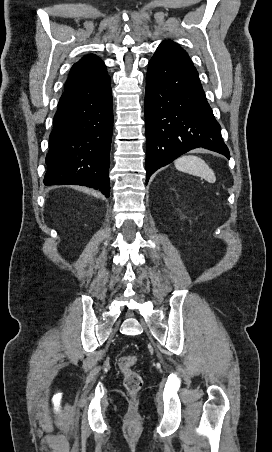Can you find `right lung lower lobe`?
I'll return each mask as SVG.
<instances>
[{
	"label": "right lung lower lobe",
	"instance_id": "1",
	"mask_svg": "<svg viewBox=\"0 0 272 452\" xmlns=\"http://www.w3.org/2000/svg\"><path fill=\"white\" fill-rule=\"evenodd\" d=\"M112 131L109 76L94 85L65 91L54 116L44 184L83 185L109 197Z\"/></svg>",
	"mask_w": 272,
	"mask_h": 452
}]
</instances>
